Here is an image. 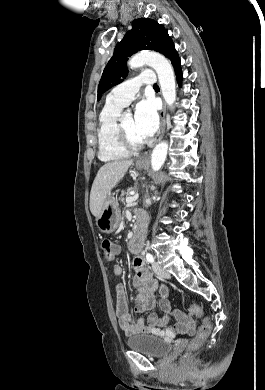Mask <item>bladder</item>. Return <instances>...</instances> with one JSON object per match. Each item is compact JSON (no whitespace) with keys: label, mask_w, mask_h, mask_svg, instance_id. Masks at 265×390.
<instances>
[{"label":"bladder","mask_w":265,"mask_h":390,"mask_svg":"<svg viewBox=\"0 0 265 390\" xmlns=\"http://www.w3.org/2000/svg\"><path fill=\"white\" fill-rule=\"evenodd\" d=\"M127 346L131 350L150 357H162L172 348L163 338L148 334H139L128 338Z\"/></svg>","instance_id":"1"}]
</instances>
